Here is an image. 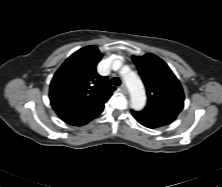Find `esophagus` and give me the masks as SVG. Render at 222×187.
<instances>
[{
  "mask_svg": "<svg viewBox=\"0 0 222 187\" xmlns=\"http://www.w3.org/2000/svg\"><path fill=\"white\" fill-rule=\"evenodd\" d=\"M120 90H121L123 93H127V88H126V85H125L124 83L120 86Z\"/></svg>",
  "mask_w": 222,
  "mask_h": 187,
  "instance_id": "34e87169",
  "label": "esophagus"
}]
</instances>
